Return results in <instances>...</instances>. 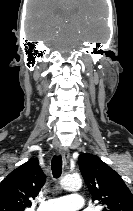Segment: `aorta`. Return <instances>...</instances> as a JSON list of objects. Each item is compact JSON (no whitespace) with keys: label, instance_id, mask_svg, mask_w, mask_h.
Segmentation results:
<instances>
[{"label":"aorta","instance_id":"1","mask_svg":"<svg viewBox=\"0 0 133 211\" xmlns=\"http://www.w3.org/2000/svg\"><path fill=\"white\" fill-rule=\"evenodd\" d=\"M60 185L65 190L78 191L82 187V180L77 175H67L61 179Z\"/></svg>","mask_w":133,"mask_h":211}]
</instances>
